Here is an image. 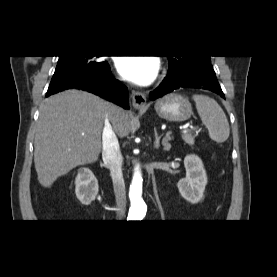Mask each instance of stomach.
Instances as JSON below:
<instances>
[{"label":"stomach","instance_id":"0dacf381","mask_svg":"<svg viewBox=\"0 0 277 277\" xmlns=\"http://www.w3.org/2000/svg\"><path fill=\"white\" fill-rule=\"evenodd\" d=\"M155 111L162 119L182 122L191 117L192 106L187 98L176 93H171L157 100Z\"/></svg>","mask_w":277,"mask_h":277}]
</instances>
